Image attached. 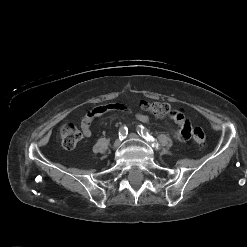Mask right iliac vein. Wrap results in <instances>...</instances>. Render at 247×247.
Instances as JSON below:
<instances>
[{
  "label": "right iliac vein",
  "instance_id": "1",
  "mask_svg": "<svg viewBox=\"0 0 247 247\" xmlns=\"http://www.w3.org/2000/svg\"><path fill=\"white\" fill-rule=\"evenodd\" d=\"M120 145H121V140H120V139H117V140L114 142L113 147H114V148H118Z\"/></svg>",
  "mask_w": 247,
  "mask_h": 247
}]
</instances>
